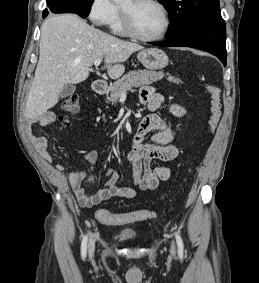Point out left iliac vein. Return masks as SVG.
<instances>
[{"label": "left iliac vein", "instance_id": "4c4485c4", "mask_svg": "<svg viewBox=\"0 0 259 283\" xmlns=\"http://www.w3.org/2000/svg\"><path fill=\"white\" fill-rule=\"evenodd\" d=\"M171 253H172L173 255H175V253H176V248H175L174 242H172V244H171Z\"/></svg>", "mask_w": 259, "mask_h": 283}]
</instances>
